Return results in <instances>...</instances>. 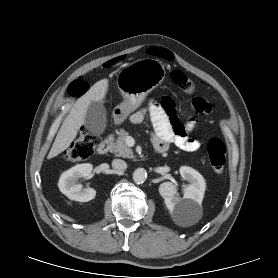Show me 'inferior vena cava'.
Returning a JSON list of instances; mask_svg holds the SVG:
<instances>
[{
	"instance_id": "obj_1",
	"label": "inferior vena cava",
	"mask_w": 278,
	"mask_h": 278,
	"mask_svg": "<svg viewBox=\"0 0 278 278\" xmlns=\"http://www.w3.org/2000/svg\"><path fill=\"white\" fill-rule=\"evenodd\" d=\"M112 167L117 170H125L127 168V164L124 160L114 159L112 161Z\"/></svg>"
}]
</instances>
